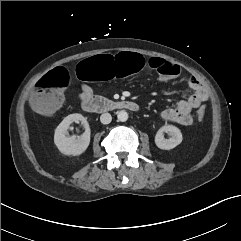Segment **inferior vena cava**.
<instances>
[{
  "instance_id": "602c4592",
  "label": "inferior vena cava",
  "mask_w": 241,
  "mask_h": 241,
  "mask_svg": "<svg viewBox=\"0 0 241 241\" xmlns=\"http://www.w3.org/2000/svg\"><path fill=\"white\" fill-rule=\"evenodd\" d=\"M100 121L102 124H109L112 121V116L109 113H103L100 116Z\"/></svg>"
}]
</instances>
